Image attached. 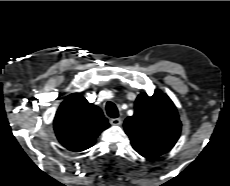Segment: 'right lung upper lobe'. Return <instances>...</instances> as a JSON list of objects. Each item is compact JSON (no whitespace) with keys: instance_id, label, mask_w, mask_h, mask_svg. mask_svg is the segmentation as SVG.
Wrapping results in <instances>:
<instances>
[{"instance_id":"right-lung-upper-lobe-1","label":"right lung upper lobe","mask_w":230,"mask_h":186,"mask_svg":"<svg viewBox=\"0 0 230 186\" xmlns=\"http://www.w3.org/2000/svg\"><path fill=\"white\" fill-rule=\"evenodd\" d=\"M108 127L101 109L78 93L69 95L62 102L54 119L59 142L74 152L93 146L97 136Z\"/></svg>"}]
</instances>
